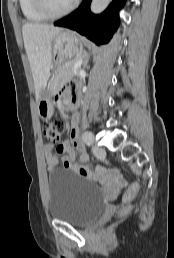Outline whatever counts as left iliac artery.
<instances>
[{
	"label": "left iliac artery",
	"mask_w": 174,
	"mask_h": 258,
	"mask_svg": "<svg viewBox=\"0 0 174 258\" xmlns=\"http://www.w3.org/2000/svg\"><path fill=\"white\" fill-rule=\"evenodd\" d=\"M82 139H83V141H84L87 145L90 146V145L93 144L94 136H93L92 132L86 131V132L83 133Z\"/></svg>",
	"instance_id": "obj_1"
}]
</instances>
